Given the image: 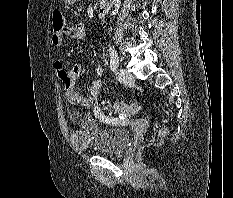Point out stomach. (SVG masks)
I'll return each mask as SVG.
<instances>
[{"label": "stomach", "mask_w": 233, "mask_h": 198, "mask_svg": "<svg viewBox=\"0 0 233 198\" xmlns=\"http://www.w3.org/2000/svg\"><path fill=\"white\" fill-rule=\"evenodd\" d=\"M66 4H73L75 3L77 0H63Z\"/></svg>", "instance_id": "0dacf381"}]
</instances>
